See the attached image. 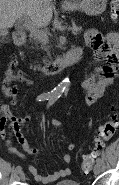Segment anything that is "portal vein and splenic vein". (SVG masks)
I'll return each mask as SVG.
<instances>
[{"label":"portal vein and splenic vein","instance_id":"1","mask_svg":"<svg viewBox=\"0 0 119 185\" xmlns=\"http://www.w3.org/2000/svg\"><path fill=\"white\" fill-rule=\"evenodd\" d=\"M23 26L26 29H29L31 31V33L35 34L36 37H38L44 43H47L48 42L47 34L44 31H41V30L37 29L35 26H33L29 22V20H28V18L26 16H24V24H23ZM73 28H75V26Z\"/></svg>","mask_w":119,"mask_h":185}]
</instances>
